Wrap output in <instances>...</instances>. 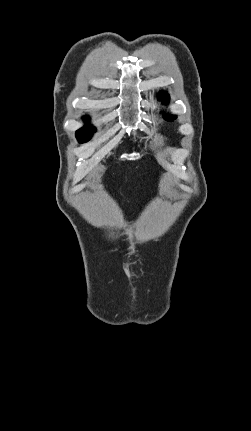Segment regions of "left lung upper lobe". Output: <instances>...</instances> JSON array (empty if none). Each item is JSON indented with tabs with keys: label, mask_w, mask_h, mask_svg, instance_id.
<instances>
[{
	"label": "left lung upper lobe",
	"mask_w": 251,
	"mask_h": 431,
	"mask_svg": "<svg viewBox=\"0 0 251 431\" xmlns=\"http://www.w3.org/2000/svg\"><path fill=\"white\" fill-rule=\"evenodd\" d=\"M159 100L163 101V102H167L168 101V95L165 94V92H160L158 95ZM168 121H173L175 119L174 116H166L165 118Z\"/></svg>",
	"instance_id": "5c2ea615"
}]
</instances>
